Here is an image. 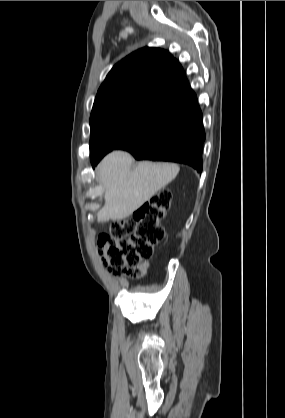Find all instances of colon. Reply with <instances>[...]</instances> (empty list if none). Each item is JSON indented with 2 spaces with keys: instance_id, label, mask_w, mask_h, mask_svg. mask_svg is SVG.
Segmentation results:
<instances>
[{
  "instance_id": "5ec220e1",
  "label": "colon",
  "mask_w": 285,
  "mask_h": 418,
  "mask_svg": "<svg viewBox=\"0 0 285 418\" xmlns=\"http://www.w3.org/2000/svg\"><path fill=\"white\" fill-rule=\"evenodd\" d=\"M171 193L162 189L140 206L131 218L114 221L108 232L98 235L102 264L113 274L138 276L142 261L152 256L154 246L164 238L161 220L170 208Z\"/></svg>"
}]
</instances>
